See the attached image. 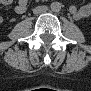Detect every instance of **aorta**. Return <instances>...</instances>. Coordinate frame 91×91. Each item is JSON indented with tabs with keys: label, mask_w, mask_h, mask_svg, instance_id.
Instances as JSON below:
<instances>
[{
	"label": "aorta",
	"mask_w": 91,
	"mask_h": 91,
	"mask_svg": "<svg viewBox=\"0 0 91 91\" xmlns=\"http://www.w3.org/2000/svg\"><path fill=\"white\" fill-rule=\"evenodd\" d=\"M51 10L54 11V12H59L62 8V4L60 2H52L51 5Z\"/></svg>",
	"instance_id": "aorta-1"
}]
</instances>
